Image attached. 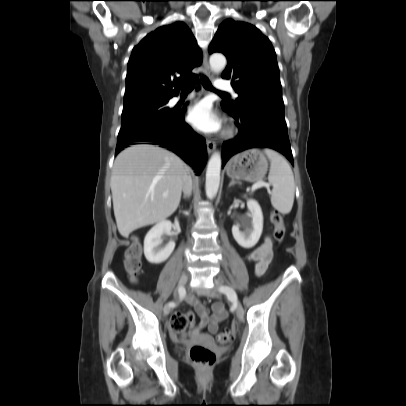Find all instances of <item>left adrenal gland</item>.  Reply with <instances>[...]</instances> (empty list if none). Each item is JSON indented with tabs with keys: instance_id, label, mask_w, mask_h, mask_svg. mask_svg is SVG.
Returning a JSON list of instances; mask_svg holds the SVG:
<instances>
[{
	"instance_id": "1",
	"label": "left adrenal gland",
	"mask_w": 406,
	"mask_h": 406,
	"mask_svg": "<svg viewBox=\"0 0 406 406\" xmlns=\"http://www.w3.org/2000/svg\"><path fill=\"white\" fill-rule=\"evenodd\" d=\"M233 184H236V182L234 180H231L229 183V187L232 186Z\"/></svg>"
}]
</instances>
